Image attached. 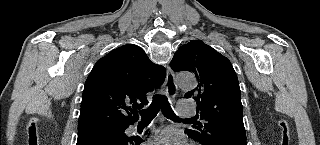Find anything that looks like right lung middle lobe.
<instances>
[{"mask_svg": "<svg viewBox=\"0 0 320 145\" xmlns=\"http://www.w3.org/2000/svg\"><path fill=\"white\" fill-rule=\"evenodd\" d=\"M108 129H110V128H108ZM114 130H119L118 128H113Z\"/></svg>", "mask_w": 320, "mask_h": 145, "instance_id": "1", "label": "right lung middle lobe"}]
</instances>
